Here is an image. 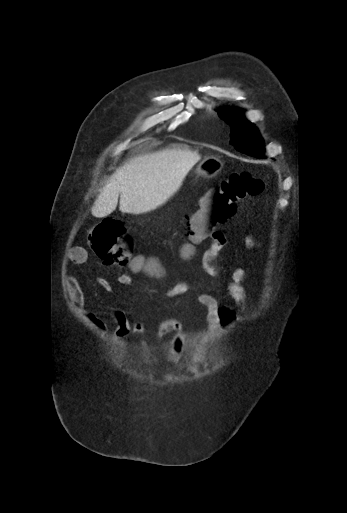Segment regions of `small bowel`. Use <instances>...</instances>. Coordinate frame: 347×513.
Instances as JSON below:
<instances>
[{
  "label": "small bowel",
  "mask_w": 347,
  "mask_h": 513,
  "mask_svg": "<svg viewBox=\"0 0 347 513\" xmlns=\"http://www.w3.org/2000/svg\"><path fill=\"white\" fill-rule=\"evenodd\" d=\"M211 241L209 248L204 253L203 258V271L210 277H220L223 274L222 268L218 265L217 260L220 252L226 246V234L222 230H215L208 236ZM246 246L249 249H256L258 242L253 235H248L245 239ZM192 249L191 246L186 245V250ZM69 262L74 264H84L87 261V253L82 248H74L69 253ZM140 268L133 266L132 273L139 272ZM119 283L123 285H130L132 277L130 273H122L118 277ZM247 282L246 272L239 268L234 267L229 271V277L225 282L224 288L227 295L235 302L239 309L245 308L247 304V294L245 285ZM98 284L106 291H111V286L104 280ZM193 281L182 280L174 283L169 289L168 294L171 297H177L187 294L193 287ZM65 287L71 305L76 312L84 318L93 327L105 331L107 329L106 320L99 314L89 312L85 309V298L83 290L78 280L72 275L67 274L65 279ZM197 302L205 310V321L208 329H214L218 325H228L236 320L237 311L230 307H222L218 299L210 293H199L196 298ZM111 318L115 324L114 335L124 340L131 336L140 338L148 337L153 339L170 336L169 345L165 352V359L170 363H177L183 356L185 343H184V328L178 319L169 318L163 320L153 327H149L139 319H129L122 311L116 310L111 313ZM200 356L194 354L191 360L194 362L199 361Z\"/></svg>",
  "instance_id": "small-bowel-1"
}]
</instances>
